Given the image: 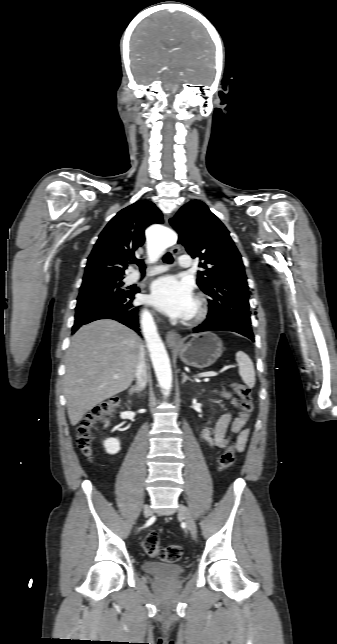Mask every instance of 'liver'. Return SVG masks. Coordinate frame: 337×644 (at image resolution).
Wrapping results in <instances>:
<instances>
[{"label": "liver", "instance_id": "1", "mask_svg": "<svg viewBox=\"0 0 337 644\" xmlns=\"http://www.w3.org/2000/svg\"><path fill=\"white\" fill-rule=\"evenodd\" d=\"M142 349L137 334L114 320L94 321L73 335L64 376L72 426L94 406L131 385Z\"/></svg>", "mask_w": 337, "mask_h": 644}]
</instances>
